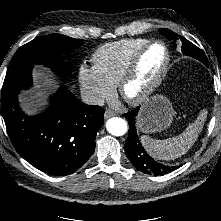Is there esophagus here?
I'll return each mask as SVG.
<instances>
[{"instance_id":"1","label":"esophagus","mask_w":221,"mask_h":221,"mask_svg":"<svg viewBox=\"0 0 221 221\" xmlns=\"http://www.w3.org/2000/svg\"><path fill=\"white\" fill-rule=\"evenodd\" d=\"M115 115H116V113L113 112V111H111V110H107V111L104 113L105 119H108V118H110V117H112V116H115Z\"/></svg>"}]
</instances>
